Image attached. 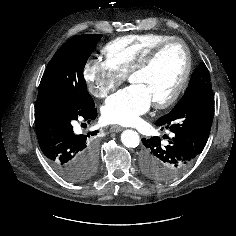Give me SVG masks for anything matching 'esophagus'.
Listing matches in <instances>:
<instances>
[{
    "label": "esophagus",
    "instance_id": "obj_1",
    "mask_svg": "<svg viewBox=\"0 0 236 236\" xmlns=\"http://www.w3.org/2000/svg\"><path fill=\"white\" fill-rule=\"evenodd\" d=\"M123 130V127L119 126V125H112L110 127V131L111 132H120Z\"/></svg>",
    "mask_w": 236,
    "mask_h": 236
}]
</instances>
